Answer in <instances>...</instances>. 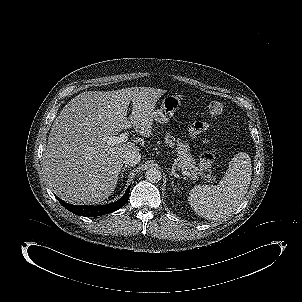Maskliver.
Listing matches in <instances>:
<instances>
[{
    "instance_id": "obj_1",
    "label": "liver",
    "mask_w": 302,
    "mask_h": 302,
    "mask_svg": "<svg viewBox=\"0 0 302 302\" xmlns=\"http://www.w3.org/2000/svg\"><path fill=\"white\" fill-rule=\"evenodd\" d=\"M163 93L137 87L86 91L68 102L54 120L44 154L43 170L53 192L77 205L107 199L116 187L124 155L144 145L138 137L108 145L107 137L132 126L150 137L155 100Z\"/></svg>"
}]
</instances>
